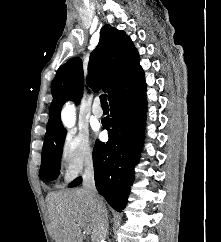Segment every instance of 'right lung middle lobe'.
<instances>
[{
  "label": "right lung middle lobe",
  "instance_id": "right-lung-middle-lobe-1",
  "mask_svg": "<svg viewBox=\"0 0 221 242\" xmlns=\"http://www.w3.org/2000/svg\"><path fill=\"white\" fill-rule=\"evenodd\" d=\"M65 136L66 131L64 130L57 135L44 139L39 173L41 179L52 181L59 175Z\"/></svg>",
  "mask_w": 221,
  "mask_h": 242
}]
</instances>
